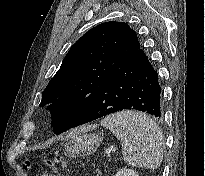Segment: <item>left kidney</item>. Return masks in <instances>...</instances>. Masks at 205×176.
<instances>
[{"instance_id": "left-kidney-1", "label": "left kidney", "mask_w": 205, "mask_h": 176, "mask_svg": "<svg viewBox=\"0 0 205 176\" xmlns=\"http://www.w3.org/2000/svg\"><path fill=\"white\" fill-rule=\"evenodd\" d=\"M115 176H139L134 170L123 168L120 169Z\"/></svg>"}]
</instances>
